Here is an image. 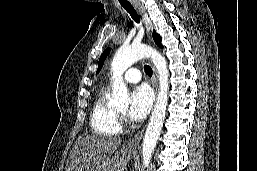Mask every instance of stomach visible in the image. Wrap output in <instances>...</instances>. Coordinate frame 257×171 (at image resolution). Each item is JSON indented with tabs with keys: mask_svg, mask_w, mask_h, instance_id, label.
I'll return each mask as SVG.
<instances>
[{
	"mask_svg": "<svg viewBox=\"0 0 257 171\" xmlns=\"http://www.w3.org/2000/svg\"><path fill=\"white\" fill-rule=\"evenodd\" d=\"M133 152L125 149L118 150L113 156H110L98 171H124Z\"/></svg>",
	"mask_w": 257,
	"mask_h": 171,
	"instance_id": "obj_1",
	"label": "stomach"
}]
</instances>
